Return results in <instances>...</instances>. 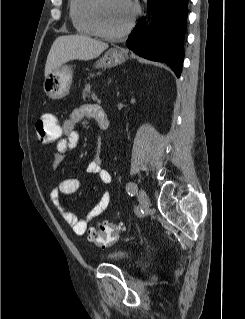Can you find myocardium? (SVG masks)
<instances>
[{
	"label": "myocardium",
	"instance_id": "f54148a6",
	"mask_svg": "<svg viewBox=\"0 0 245 319\" xmlns=\"http://www.w3.org/2000/svg\"><path fill=\"white\" fill-rule=\"evenodd\" d=\"M102 3H103V0H93V4L91 6L92 22L96 29L97 34L101 37L108 38V39H118L127 35L133 28L135 21L137 19L138 7L134 4H131L132 15L128 24L120 31L112 32V31L106 30L102 24V20H101Z\"/></svg>",
	"mask_w": 245,
	"mask_h": 319
}]
</instances>
